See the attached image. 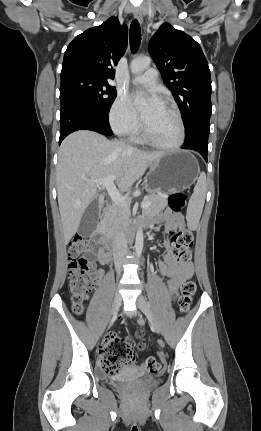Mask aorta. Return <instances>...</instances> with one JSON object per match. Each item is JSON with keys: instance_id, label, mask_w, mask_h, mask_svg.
Listing matches in <instances>:
<instances>
[{"instance_id": "762f6f07", "label": "aorta", "mask_w": 261, "mask_h": 431, "mask_svg": "<svg viewBox=\"0 0 261 431\" xmlns=\"http://www.w3.org/2000/svg\"><path fill=\"white\" fill-rule=\"evenodd\" d=\"M150 63H151V59L149 57L135 58L131 62V72L133 74L141 73L150 66ZM135 101L137 103H142L145 101V96L142 94H138L135 98ZM142 249H143V232H142V229L140 228L137 231L136 241H135L136 256L138 258L141 256Z\"/></svg>"}]
</instances>
